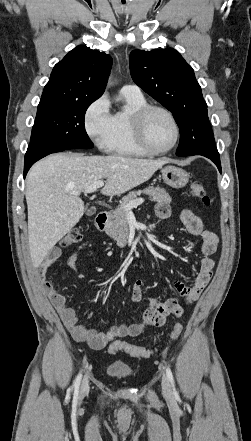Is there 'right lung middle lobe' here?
Here are the masks:
<instances>
[{
    "mask_svg": "<svg viewBox=\"0 0 251 441\" xmlns=\"http://www.w3.org/2000/svg\"><path fill=\"white\" fill-rule=\"evenodd\" d=\"M98 98L76 101L40 102L30 144L63 149H90L93 143L84 126L87 108Z\"/></svg>",
    "mask_w": 251,
    "mask_h": 441,
    "instance_id": "right-lung-middle-lobe-1",
    "label": "right lung middle lobe"
}]
</instances>
